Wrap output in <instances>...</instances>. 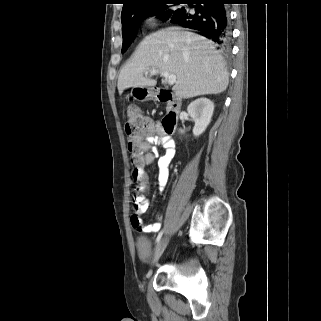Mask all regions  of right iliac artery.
Returning a JSON list of instances; mask_svg holds the SVG:
<instances>
[{
  "label": "right iliac artery",
  "mask_w": 321,
  "mask_h": 321,
  "mask_svg": "<svg viewBox=\"0 0 321 321\" xmlns=\"http://www.w3.org/2000/svg\"><path fill=\"white\" fill-rule=\"evenodd\" d=\"M162 235H163V230L158 234V236L156 238V243H158L160 241Z\"/></svg>",
  "instance_id": "1"
}]
</instances>
